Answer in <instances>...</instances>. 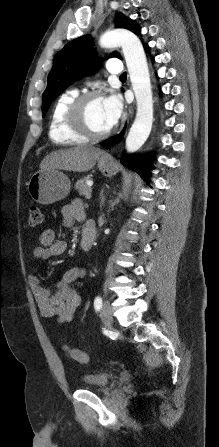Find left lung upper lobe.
<instances>
[{
	"label": "left lung upper lobe",
	"mask_w": 219,
	"mask_h": 447,
	"mask_svg": "<svg viewBox=\"0 0 219 447\" xmlns=\"http://www.w3.org/2000/svg\"><path fill=\"white\" fill-rule=\"evenodd\" d=\"M115 27L140 33L138 25L122 13L116 14ZM112 57L121 59L117 52ZM97 66L98 60L90 36L84 35L67 43L55 56L53 68L48 75L47 88L42 97V116L46 115L52 101L60 93L82 75L96 70Z\"/></svg>",
	"instance_id": "left-lung-upper-lobe-1"
}]
</instances>
